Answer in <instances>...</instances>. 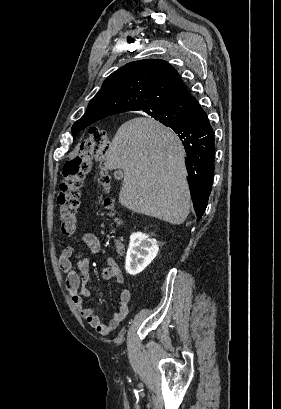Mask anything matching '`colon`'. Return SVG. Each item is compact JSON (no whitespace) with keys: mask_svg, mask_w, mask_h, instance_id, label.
I'll use <instances>...</instances> for the list:
<instances>
[{"mask_svg":"<svg viewBox=\"0 0 281 409\" xmlns=\"http://www.w3.org/2000/svg\"><path fill=\"white\" fill-rule=\"evenodd\" d=\"M110 146L111 139L108 131L101 128H92L89 131L88 138L82 143L78 154L68 159L63 165V180L57 194L63 232L72 230L73 221L80 203L82 177L89 166L90 159L94 158L102 161ZM97 181L102 186L110 183V177L102 167L99 170ZM104 204L110 208L112 200L107 198Z\"/></svg>","mask_w":281,"mask_h":409,"instance_id":"5ec220e1","label":"colon"}]
</instances>
